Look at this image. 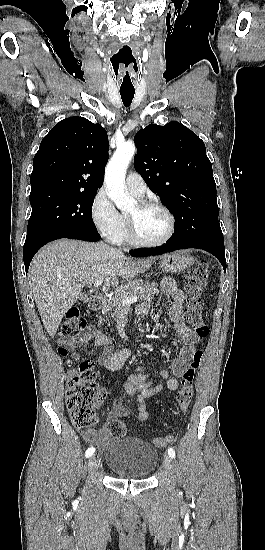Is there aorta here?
<instances>
[{
	"label": "aorta",
	"mask_w": 265,
	"mask_h": 550,
	"mask_svg": "<svg viewBox=\"0 0 265 550\" xmlns=\"http://www.w3.org/2000/svg\"><path fill=\"white\" fill-rule=\"evenodd\" d=\"M136 148L132 143L117 146L115 153L105 169V185L108 197L118 209L127 210L134 206L135 200L125 191V175Z\"/></svg>",
	"instance_id": "1"
}]
</instances>
